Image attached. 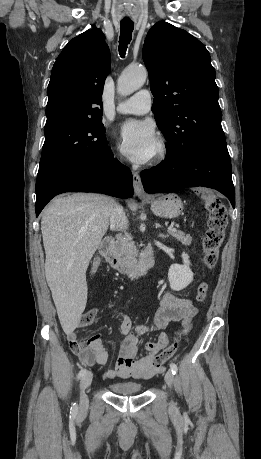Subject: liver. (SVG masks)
I'll use <instances>...</instances> for the list:
<instances>
[{
  "mask_svg": "<svg viewBox=\"0 0 261 459\" xmlns=\"http://www.w3.org/2000/svg\"><path fill=\"white\" fill-rule=\"evenodd\" d=\"M114 205L109 196L75 193L55 198L43 212L45 276L67 335L78 327L86 307V271L108 230Z\"/></svg>",
  "mask_w": 261,
  "mask_h": 459,
  "instance_id": "liver-1",
  "label": "liver"
}]
</instances>
